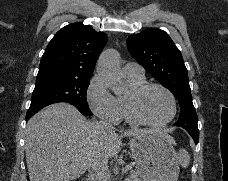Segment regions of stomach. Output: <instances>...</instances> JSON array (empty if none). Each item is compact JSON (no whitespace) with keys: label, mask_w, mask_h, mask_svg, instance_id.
Masks as SVG:
<instances>
[{"label":"stomach","mask_w":228,"mask_h":181,"mask_svg":"<svg viewBox=\"0 0 228 181\" xmlns=\"http://www.w3.org/2000/svg\"><path fill=\"white\" fill-rule=\"evenodd\" d=\"M140 181H178L180 167L172 137L143 133L130 141Z\"/></svg>","instance_id":"obj_1"}]
</instances>
